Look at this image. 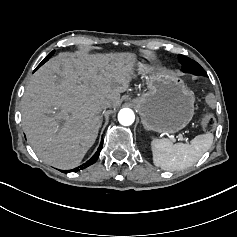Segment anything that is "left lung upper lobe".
I'll return each mask as SVG.
<instances>
[{"mask_svg": "<svg viewBox=\"0 0 237 237\" xmlns=\"http://www.w3.org/2000/svg\"><path fill=\"white\" fill-rule=\"evenodd\" d=\"M178 59L182 64V71L184 73H191L196 76L208 77L205 70L196 61L183 55H178Z\"/></svg>", "mask_w": 237, "mask_h": 237, "instance_id": "obj_1", "label": "left lung upper lobe"}]
</instances>
